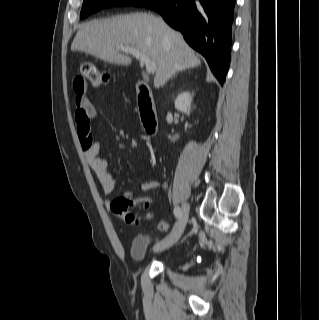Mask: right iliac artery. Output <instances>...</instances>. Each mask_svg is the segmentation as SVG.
Returning a JSON list of instances; mask_svg holds the SVG:
<instances>
[{
	"instance_id": "1",
	"label": "right iliac artery",
	"mask_w": 319,
	"mask_h": 320,
	"mask_svg": "<svg viewBox=\"0 0 319 320\" xmlns=\"http://www.w3.org/2000/svg\"><path fill=\"white\" fill-rule=\"evenodd\" d=\"M173 212H174L175 217L178 218V219H179V218L181 217V215H182L181 209H180V207H178V206L174 208V211H173Z\"/></svg>"
}]
</instances>
